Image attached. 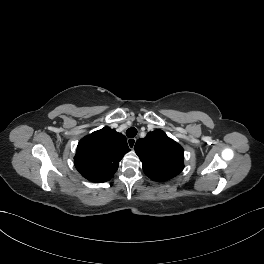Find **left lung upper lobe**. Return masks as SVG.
Listing matches in <instances>:
<instances>
[{
    "mask_svg": "<svg viewBox=\"0 0 264 264\" xmlns=\"http://www.w3.org/2000/svg\"><path fill=\"white\" fill-rule=\"evenodd\" d=\"M144 173L155 181L169 180L184 168L183 148L162 130L149 132L134 147Z\"/></svg>",
    "mask_w": 264,
    "mask_h": 264,
    "instance_id": "left-lung-upper-lobe-1",
    "label": "left lung upper lobe"
}]
</instances>
